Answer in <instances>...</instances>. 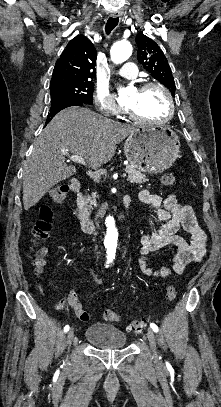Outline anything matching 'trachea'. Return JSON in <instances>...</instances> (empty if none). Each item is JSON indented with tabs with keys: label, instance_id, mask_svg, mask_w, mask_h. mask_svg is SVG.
I'll return each instance as SVG.
<instances>
[{
	"label": "trachea",
	"instance_id": "obj_1",
	"mask_svg": "<svg viewBox=\"0 0 221 407\" xmlns=\"http://www.w3.org/2000/svg\"><path fill=\"white\" fill-rule=\"evenodd\" d=\"M118 22H119L118 17L117 18L110 17L105 26L106 33L110 34V32L118 25Z\"/></svg>",
	"mask_w": 221,
	"mask_h": 407
}]
</instances>
